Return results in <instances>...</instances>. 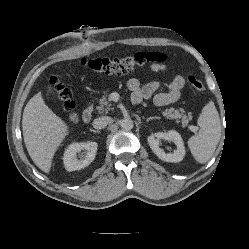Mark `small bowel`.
I'll return each instance as SVG.
<instances>
[{
	"label": "small bowel",
	"instance_id": "1",
	"mask_svg": "<svg viewBox=\"0 0 249 249\" xmlns=\"http://www.w3.org/2000/svg\"><path fill=\"white\" fill-rule=\"evenodd\" d=\"M151 71L165 72L166 67L164 65L154 66L151 68ZM184 85V78L180 75H177L172 78L168 85L167 91L155 94L161 87V84L157 81H152L142 85L139 79L131 78L127 82V87L132 92V100L134 103H140L145 99H149L153 94H155L154 103L157 106H165L179 100Z\"/></svg>",
	"mask_w": 249,
	"mask_h": 249
}]
</instances>
